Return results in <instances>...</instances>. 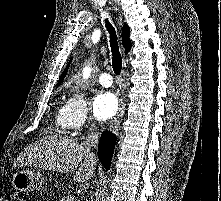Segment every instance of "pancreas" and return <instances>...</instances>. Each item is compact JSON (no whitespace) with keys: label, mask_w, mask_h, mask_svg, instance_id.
I'll list each match as a JSON object with an SVG mask.
<instances>
[{"label":"pancreas","mask_w":221,"mask_h":201,"mask_svg":"<svg viewBox=\"0 0 221 201\" xmlns=\"http://www.w3.org/2000/svg\"><path fill=\"white\" fill-rule=\"evenodd\" d=\"M70 197V195L67 196H63L62 201H68V198ZM75 201V200H74ZM78 201V200H77Z\"/></svg>","instance_id":"obj_1"}]
</instances>
